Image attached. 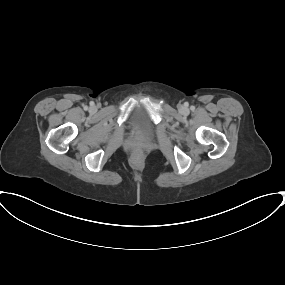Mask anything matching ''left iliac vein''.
<instances>
[{
	"label": "left iliac vein",
	"instance_id": "4c4485c4",
	"mask_svg": "<svg viewBox=\"0 0 285 285\" xmlns=\"http://www.w3.org/2000/svg\"><path fill=\"white\" fill-rule=\"evenodd\" d=\"M180 111H181L182 113H186V112L188 111V109H187L186 107H184V106H181V107H180Z\"/></svg>",
	"mask_w": 285,
	"mask_h": 285
}]
</instances>
